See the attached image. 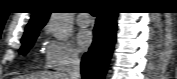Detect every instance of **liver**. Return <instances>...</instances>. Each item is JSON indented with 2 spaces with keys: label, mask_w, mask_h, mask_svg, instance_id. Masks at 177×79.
Wrapping results in <instances>:
<instances>
[{
  "label": "liver",
  "mask_w": 177,
  "mask_h": 79,
  "mask_svg": "<svg viewBox=\"0 0 177 79\" xmlns=\"http://www.w3.org/2000/svg\"><path fill=\"white\" fill-rule=\"evenodd\" d=\"M19 79H70L67 74L64 73H43V74H35L29 76H20Z\"/></svg>",
  "instance_id": "liver-1"
}]
</instances>
